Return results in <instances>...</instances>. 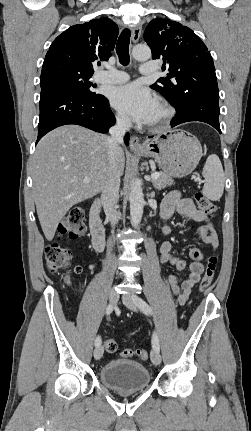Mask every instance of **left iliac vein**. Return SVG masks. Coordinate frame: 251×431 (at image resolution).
<instances>
[{
  "label": "left iliac vein",
  "mask_w": 251,
  "mask_h": 431,
  "mask_svg": "<svg viewBox=\"0 0 251 431\" xmlns=\"http://www.w3.org/2000/svg\"><path fill=\"white\" fill-rule=\"evenodd\" d=\"M136 295L126 294L122 296V301L124 305L132 311H137L138 306L136 303ZM151 361L154 365H159L161 363V355L158 350L153 349L151 351Z\"/></svg>",
  "instance_id": "4c4485c4"
}]
</instances>
